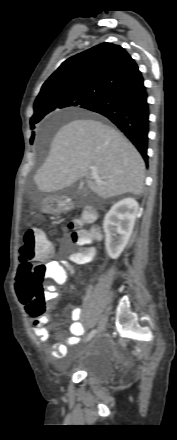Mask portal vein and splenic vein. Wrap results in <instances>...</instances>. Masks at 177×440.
<instances>
[{
    "label": "portal vein and splenic vein",
    "instance_id": "1",
    "mask_svg": "<svg viewBox=\"0 0 177 440\" xmlns=\"http://www.w3.org/2000/svg\"><path fill=\"white\" fill-rule=\"evenodd\" d=\"M91 175H92V178H93L98 184H102V183H103V182L100 180L99 176H98L97 168H96V167H93V168L91 169Z\"/></svg>",
    "mask_w": 177,
    "mask_h": 440
}]
</instances>
